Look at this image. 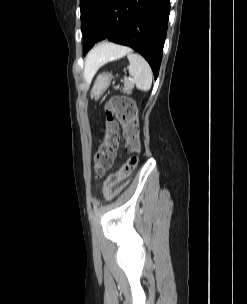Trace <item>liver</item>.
<instances>
[{
    "instance_id": "6515ba94",
    "label": "liver",
    "mask_w": 247,
    "mask_h": 304,
    "mask_svg": "<svg viewBox=\"0 0 247 304\" xmlns=\"http://www.w3.org/2000/svg\"><path fill=\"white\" fill-rule=\"evenodd\" d=\"M128 48L111 43H103L94 48L88 55L85 63L84 78L90 79L104 63L110 60L112 56H118Z\"/></svg>"
}]
</instances>
